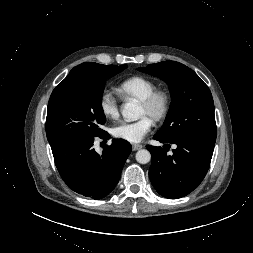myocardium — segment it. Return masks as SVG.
<instances>
[{
    "label": "myocardium",
    "mask_w": 253,
    "mask_h": 253,
    "mask_svg": "<svg viewBox=\"0 0 253 253\" xmlns=\"http://www.w3.org/2000/svg\"><path fill=\"white\" fill-rule=\"evenodd\" d=\"M140 104L152 110L151 118L155 122L164 120L171 108L172 97L167 89L156 88L146 97L140 100Z\"/></svg>",
    "instance_id": "f54148a6"
}]
</instances>
